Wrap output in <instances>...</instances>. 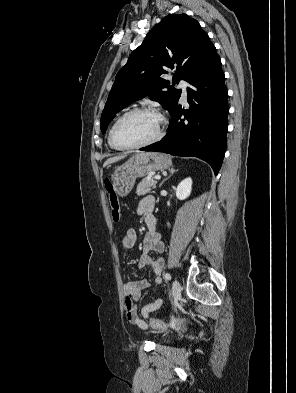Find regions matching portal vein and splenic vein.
Wrapping results in <instances>:
<instances>
[{
	"mask_svg": "<svg viewBox=\"0 0 296 393\" xmlns=\"http://www.w3.org/2000/svg\"><path fill=\"white\" fill-rule=\"evenodd\" d=\"M154 178H155V180H160L161 176L160 175H156Z\"/></svg>",
	"mask_w": 296,
	"mask_h": 393,
	"instance_id": "obj_1",
	"label": "portal vein and splenic vein"
}]
</instances>
